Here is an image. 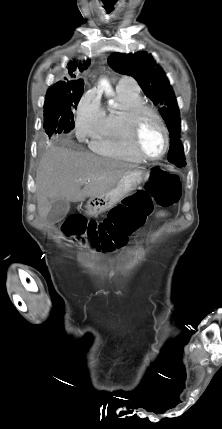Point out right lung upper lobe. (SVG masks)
I'll return each instance as SVG.
<instances>
[{
	"label": "right lung upper lobe",
	"instance_id": "cb5924a9",
	"mask_svg": "<svg viewBox=\"0 0 222 429\" xmlns=\"http://www.w3.org/2000/svg\"><path fill=\"white\" fill-rule=\"evenodd\" d=\"M90 65V61L87 60L83 64L78 63L77 61L73 60L70 61L65 69L66 77H64L65 81H58L53 86L49 88L48 91L50 92H57V91H67L72 89L78 84H84L83 80L78 78L80 72L87 69ZM73 79V80H68Z\"/></svg>",
	"mask_w": 222,
	"mask_h": 429
}]
</instances>
